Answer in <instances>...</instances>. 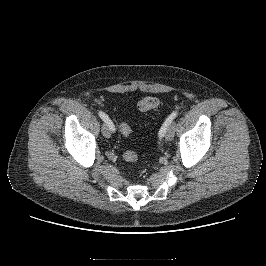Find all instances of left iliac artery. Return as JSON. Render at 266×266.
<instances>
[{"label":"left iliac artery","instance_id":"obj_1","mask_svg":"<svg viewBox=\"0 0 266 266\" xmlns=\"http://www.w3.org/2000/svg\"><path fill=\"white\" fill-rule=\"evenodd\" d=\"M177 115H178V112L174 111L167 117V119L165 120V122L163 123V125L159 131V137L160 138H162L165 135L167 128L173 122V120L177 117Z\"/></svg>","mask_w":266,"mask_h":266}]
</instances>
